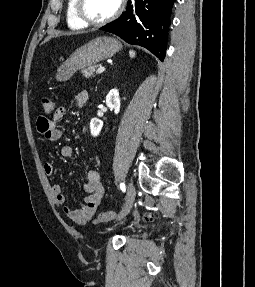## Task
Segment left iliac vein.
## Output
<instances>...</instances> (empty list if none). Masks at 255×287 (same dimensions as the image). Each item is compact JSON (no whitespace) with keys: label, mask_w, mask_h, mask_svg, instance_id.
I'll return each mask as SVG.
<instances>
[{"label":"left iliac vein","mask_w":255,"mask_h":287,"mask_svg":"<svg viewBox=\"0 0 255 287\" xmlns=\"http://www.w3.org/2000/svg\"><path fill=\"white\" fill-rule=\"evenodd\" d=\"M136 190L132 182H130L127 186V195L125 204L118 216V220L124 218L132 209L134 201H135Z\"/></svg>","instance_id":"left-iliac-vein-1"}]
</instances>
